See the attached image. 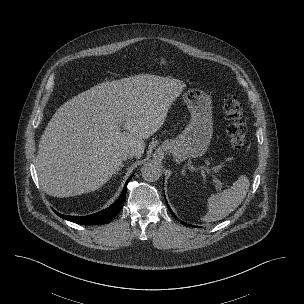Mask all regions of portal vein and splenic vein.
<instances>
[{"label":"portal vein and splenic vein","instance_id":"portal-vein-and-splenic-vein-1","mask_svg":"<svg viewBox=\"0 0 304 304\" xmlns=\"http://www.w3.org/2000/svg\"><path fill=\"white\" fill-rule=\"evenodd\" d=\"M204 169L207 171V173H209V169L207 168ZM212 177H213V182L216 183L218 187H222V183L214 175H212Z\"/></svg>","mask_w":304,"mask_h":304}]
</instances>
